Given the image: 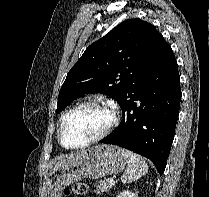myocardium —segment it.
<instances>
[{"label": "myocardium", "mask_w": 209, "mask_h": 197, "mask_svg": "<svg viewBox=\"0 0 209 197\" xmlns=\"http://www.w3.org/2000/svg\"><path fill=\"white\" fill-rule=\"evenodd\" d=\"M85 105H96V106H101L105 108L106 110H108L110 114V120L108 124L106 125V127L96 136L92 137L91 139L79 145L67 146L64 144L63 139H62L64 123L70 114H72L74 111H76L77 109ZM118 121H119V108L113 101L103 98V97H98V96L86 98L78 102L76 105H74L72 108H70L68 111H66L63 114L60 120L59 129H58V135H57L58 141L60 145L65 149L77 150V149L85 148L107 137L111 133V131L114 129V127L118 124Z\"/></svg>", "instance_id": "obj_1"}]
</instances>
